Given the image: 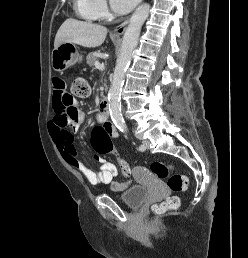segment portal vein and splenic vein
<instances>
[{
    "label": "portal vein and splenic vein",
    "mask_w": 248,
    "mask_h": 258,
    "mask_svg": "<svg viewBox=\"0 0 248 258\" xmlns=\"http://www.w3.org/2000/svg\"><path fill=\"white\" fill-rule=\"evenodd\" d=\"M95 67L100 71H103L105 69V65L103 63H99V61L95 62Z\"/></svg>",
    "instance_id": "1"
}]
</instances>
